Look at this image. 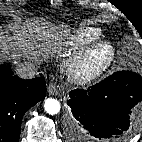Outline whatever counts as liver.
Wrapping results in <instances>:
<instances>
[{
    "label": "liver",
    "instance_id": "liver-1",
    "mask_svg": "<svg viewBox=\"0 0 142 142\" xmlns=\"http://www.w3.org/2000/svg\"><path fill=\"white\" fill-rule=\"evenodd\" d=\"M16 49L23 54L37 59L51 53L56 41L59 40L55 27L50 25L40 26L35 23H27L24 28L15 37ZM4 36L0 33V42H3Z\"/></svg>",
    "mask_w": 142,
    "mask_h": 142
}]
</instances>
